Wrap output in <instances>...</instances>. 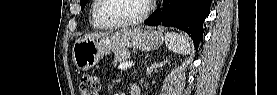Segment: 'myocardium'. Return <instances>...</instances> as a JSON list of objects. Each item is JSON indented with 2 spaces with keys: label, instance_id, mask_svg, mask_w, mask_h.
Instances as JSON below:
<instances>
[{
  "label": "myocardium",
  "instance_id": "myocardium-1",
  "mask_svg": "<svg viewBox=\"0 0 277 95\" xmlns=\"http://www.w3.org/2000/svg\"><path fill=\"white\" fill-rule=\"evenodd\" d=\"M144 2L143 11L134 18L130 19H107L103 15L100 14V9L103 7L106 0H100L99 4L95 7L93 11V16L95 20L100 22L102 25L106 27H122V26H130L136 25L142 22L150 12V4L148 0H142Z\"/></svg>",
  "mask_w": 277,
  "mask_h": 95
}]
</instances>
